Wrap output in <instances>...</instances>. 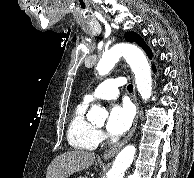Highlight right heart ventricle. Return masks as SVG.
Returning <instances> with one entry per match:
<instances>
[{
    "instance_id": "1",
    "label": "right heart ventricle",
    "mask_w": 194,
    "mask_h": 178,
    "mask_svg": "<svg viewBox=\"0 0 194 178\" xmlns=\"http://www.w3.org/2000/svg\"><path fill=\"white\" fill-rule=\"evenodd\" d=\"M87 105L85 101L77 104L70 118L67 139L75 149L93 150L100 142L97 129L85 117Z\"/></svg>"
}]
</instances>
